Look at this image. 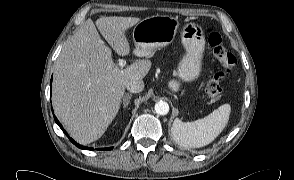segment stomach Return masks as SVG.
<instances>
[{
  "label": "stomach",
  "mask_w": 294,
  "mask_h": 180,
  "mask_svg": "<svg viewBox=\"0 0 294 180\" xmlns=\"http://www.w3.org/2000/svg\"><path fill=\"white\" fill-rule=\"evenodd\" d=\"M179 21L168 15H154L138 22L133 29V42L138 56H148L157 47L169 45L178 32ZM181 43L186 54L178 65V76L183 81L196 79L201 72L202 57L205 48L204 32L200 25L187 23L180 31ZM170 87L178 89V83L172 81Z\"/></svg>",
  "instance_id": "0dacf381"
}]
</instances>
